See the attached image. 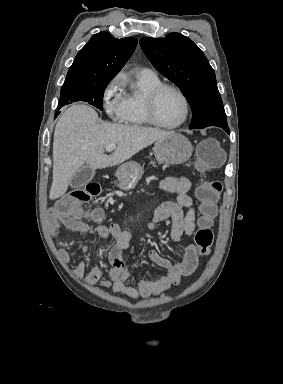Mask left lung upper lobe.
<instances>
[{"label": "left lung upper lobe", "instance_id": "1", "mask_svg": "<svg viewBox=\"0 0 283 384\" xmlns=\"http://www.w3.org/2000/svg\"><path fill=\"white\" fill-rule=\"evenodd\" d=\"M140 44L153 66L188 99L193 111L190 129L227 125L215 72L193 41L173 32L161 39L145 37Z\"/></svg>", "mask_w": 283, "mask_h": 384}]
</instances>
